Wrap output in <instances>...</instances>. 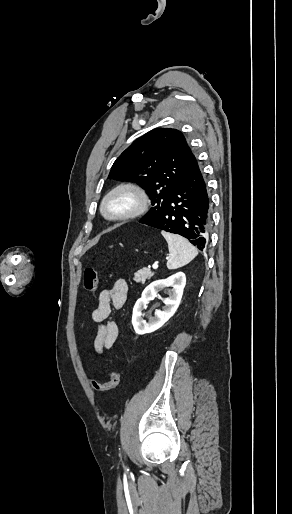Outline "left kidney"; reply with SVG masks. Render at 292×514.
I'll return each instance as SVG.
<instances>
[{
	"label": "left kidney",
	"mask_w": 292,
	"mask_h": 514,
	"mask_svg": "<svg viewBox=\"0 0 292 514\" xmlns=\"http://www.w3.org/2000/svg\"><path fill=\"white\" fill-rule=\"evenodd\" d=\"M167 286H172L173 290H168L169 298H164L163 302L165 306L163 310H156V312H154L155 318H149V322H146V320H143L142 316L146 304H148L150 300H153L162 288H167ZM185 286L186 276L183 272H177V274L166 278V280H156V282L149 284L144 292H142V298L137 300L133 308L132 324L136 334L143 336V334H151V332L162 328V326L170 320L171 316L175 314L181 302Z\"/></svg>",
	"instance_id": "left-kidney-1"
}]
</instances>
